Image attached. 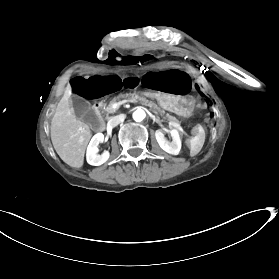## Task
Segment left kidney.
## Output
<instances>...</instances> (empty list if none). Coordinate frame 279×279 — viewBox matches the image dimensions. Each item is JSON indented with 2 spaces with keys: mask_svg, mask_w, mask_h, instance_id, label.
I'll use <instances>...</instances> for the list:
<instances>
[{
  "mask_svg": "<svg viewBox=\"0 0 279 279\" xmlns=\"http://www.w3.org/2000/svg\"><path fill=\"white\" fill-rule=\"evenodd\" d=\"M172 137V141H168L166 135ZM155 138L162 150L168 154L177 155L181 148V141L176 130L158 129L155 132Z\"/></svg>",
  "mask_w": 279,
  "mask_h": 279,
  "instance_id": "left-kidney-1",
  "label": "left kidney"
}]
</instances>
